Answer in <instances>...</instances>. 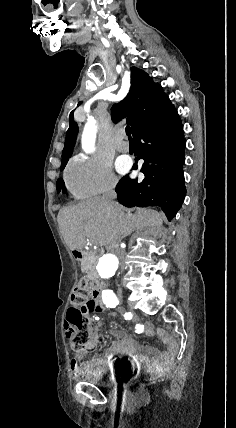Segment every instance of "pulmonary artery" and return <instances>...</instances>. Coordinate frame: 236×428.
Listing matches in <instances>:
<instances>
[{
    "label": "pulmonary artery",
    "instance_id": "1",
    "mask_svg": "<svg viewBox=\"0 0 236 428\" xmlns=\"http://www.w3.org/2000/svg\"><path fill=\"white\" fill-rule=\"evenodd\" d=\"M117 150L119 152H123V153L129 152V150H130L129 143L127 141L119 142L117 145Z\"/></svg>",
    "mask_w": 236,
    "mask_h": 428
}]
</instances>
